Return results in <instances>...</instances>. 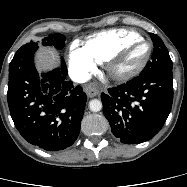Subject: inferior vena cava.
Here are the masks:
<instances>
[{
	"label": "inferior vena cava",
	"instance_id": "602c4592",
	"mask_svg": "<svg viewBox=\"0 0 187 187\" xmlns=\"http://www.w3.org/2000/svg\"><path fill=\"white\" fill-rule=\"evenodd\" d=\"M69 76L71 80L76 83H85L91 78V75L89 73L75 69L69 71Z\"/></svg>",
	"mask_w": 187,
	"mask_h": 187
}]
</instances>
